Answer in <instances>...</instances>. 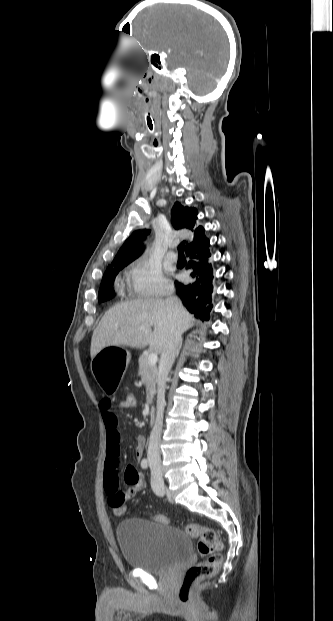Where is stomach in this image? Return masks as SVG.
I'll return each mask as SVG.
<instances>
[{"mask_svg":"<svg viewBox=\"0 0 333 621\" xmlns=\"http://www.w3.org/2000/svg\"><path fill=\"white\" fill-rule=\"evenodd\" d=\"M131 355L115 341H105L93 355V366L98 388L104 396H115L121 388L120 378Z\"/></svg>","mask_w":333,"mask_h":621,"instance_id":"stomach-1","label":"stomach"}]
</instances>
